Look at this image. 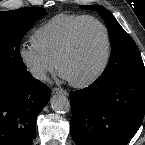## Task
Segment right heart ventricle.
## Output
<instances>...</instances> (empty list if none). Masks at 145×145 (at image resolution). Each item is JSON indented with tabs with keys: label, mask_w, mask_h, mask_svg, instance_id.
Wrapping results in <instances>:
<instances>
[{
	"label": "right heart ventricle",
	"mask_w": 145,
	"mask_h": 145,
	"mask_svg": "<svg viewBox=\"0 0 145 145\" xmlns=\"http://www.w3.org/2000/svg\"><path fill=\"white\" fill-rule=\"evenodd\" d=\"M85 15L57 14L40 26L31 36L32 43L56 62L76 22Z\"/></svg>",
	"instance_id": "obj_1"
}]
</instances>
